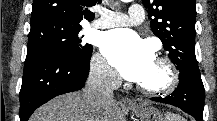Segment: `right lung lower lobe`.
Returning a JSON list of instances; mask_svg holds the SVG:
<instances>
[{
  "label": "right lung lower lobe",
  "instance_id": "1",
  "mask_svg": "<svg viewBox=\"0 0 217 121\" xmlns=\"http://www.w3.org/2000/svg\"><path fill=\"white\" fill-rule=\"evenodd\" d=\"M90 58L91 55L82 61L60 56L27 58L19 94L20 121H27L39 106L50 99L83 88Z\"/></svg>",
  "mask_w": 217,
  "mask_h": 121
}]
</instances>
